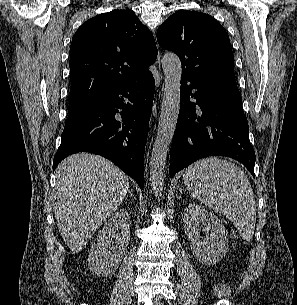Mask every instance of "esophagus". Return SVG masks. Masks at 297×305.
<instances>
[{
    "mask_svg": "<svg viewBox=\"0 0 297 305\" xmlns=\"http://www.w3.org/2000/svg\"><path fill=\"white\" fill-rule=\"evenodd\" d=\"M157 63L160 65V55L158 54Z\"/></svg>",
    "mask_w": 297,
    "mask_h": 305,
    "instance_id": "1",
    "label": "esophagus"
}]
</instances>
